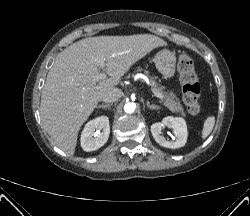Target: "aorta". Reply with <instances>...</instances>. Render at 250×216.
<instances>
[{
    "instance_id": "aorta-1",
    "label": "aorta",
    "mask_w": 250,
    "mask_h": 216,
    "mask_svg": "<svg viewBox=\"0 0 250 216\" xmlns=\"http://www.w3.org/2000/svg\"><path fill=\"white\" fill-rule=\"evenodd\" d=\"M136 105L132 102L126 103L124 105V111L126 113H133L135 111Z\"/></svg>"
}]
</instances>
